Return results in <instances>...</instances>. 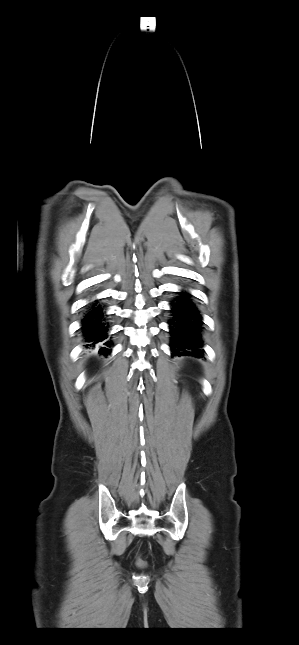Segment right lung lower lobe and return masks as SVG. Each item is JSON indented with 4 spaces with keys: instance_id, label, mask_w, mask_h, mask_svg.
Wrapping results in <instances>:
<instances>
[{
    "instance_id": "obj_1",
    "label": "right lung lower lobe",
    "mask_w": 299,
    "mask_h": 645,
    "mask_svg": "<svg viewBox=\"0 0 299 645\" xmlns=\"http://www.w3.org/2000/svg\"><path fill=\"white\" fill-rule=\"evenodd\" d=\"M108 323L103 308L98 301L91 304L82 320V330L84 335L85 347L90 348L100 345L99 353L108 355L112 342L108 340Z\"/></svg>"
}]
</instances>
